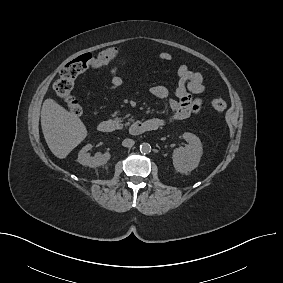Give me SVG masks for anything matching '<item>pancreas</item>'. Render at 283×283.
<instances>
[{
	"label": "pancreas",
	"mask_w": 283,
	"mask_h": 283,
	"mask_svg": "<svg viewBox=\"0 0 283 283\" xmlns=\"http://www.w3.org/2000/svg\"><path fill=\"white\" fill-rule=\"evenodd\" d=\"M116 120L119 122L120 127H123L124 124H122V120L120 118H116ZM132 121V119H130ZM129 123H125V125H128Z\"/></svg>",
	"instance_id": "cf45deb5"
}]
</instances>
